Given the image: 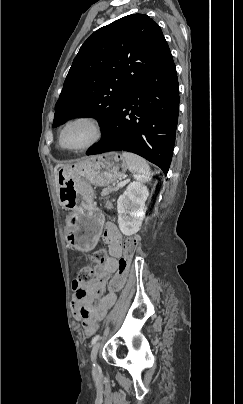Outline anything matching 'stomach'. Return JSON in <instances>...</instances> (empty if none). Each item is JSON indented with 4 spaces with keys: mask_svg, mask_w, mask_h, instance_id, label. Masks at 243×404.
Segmentation results:
<instances>
[{
    "mask_svg": "<svg viewBox=\"0 0 243 404\" xmlns=\"http://www.w3.org/2000/svg\"><path fill=\"white\" fill-rule=\"evenodd\" d=\"M128 169L125 158L115 152L95 155L65 165L57 173L61 205L70 210L65 220L68 244L78 251L91 250L100 235L104 218L93 202L94 186H108Z\"/></svg>",
    "mask_w": 243,
    "mask_h": 404,
    "instance_id": "1",
    "label": "stomach"
}]
</instances>
